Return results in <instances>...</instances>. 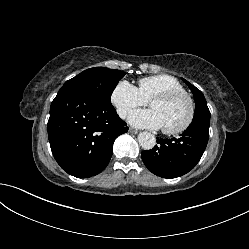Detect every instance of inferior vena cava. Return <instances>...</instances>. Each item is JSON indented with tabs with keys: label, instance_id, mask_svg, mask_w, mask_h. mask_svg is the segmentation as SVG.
Listing matches in <instances>:
<instances>
[{
	"label": "inferior vena cava",
	"instance_id": "1",
	"mask_svg": "<svg viewBox=\"0 0 249 249\" xmlns=\"http://www.w3.org/2000/svg\"><path fill=\"white\" fill-rule=\"evenodd\" d=\"M119 115H120L121 118L124 119V118L126 117L127 113H126L125 111H121V112L119 113Z\"/></svg>",
	"mask_w": 249,
	"mask_h": 249
}]
</instances>
